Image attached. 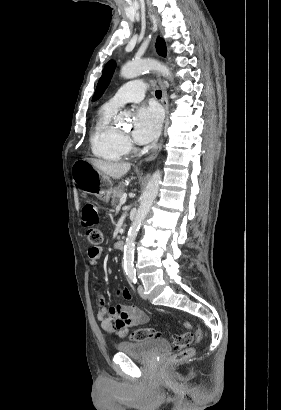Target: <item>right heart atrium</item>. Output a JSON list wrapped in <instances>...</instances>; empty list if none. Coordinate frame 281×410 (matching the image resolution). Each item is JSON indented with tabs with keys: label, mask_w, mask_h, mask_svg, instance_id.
Returning <instances> with one entry per match:
<instances>
[{
	"label": "right heart atrium",
	"mask_w": 281,
	"mask_h": 410,
	"mask_svg": "<svg viewBox=\"0 0 281 410\" xmlns=\"http://www.w3.org/2000/svg\"><path fill=\"white\" fill-rule=\"evenodd\" d=\"M124 142H125V145H126L127 149H128V150H131V149H132V144H131V142L129 141V139H128V138H124Z\"/></svg>",
	"instance_id": "d8ad5b80"
}]
</instances>
